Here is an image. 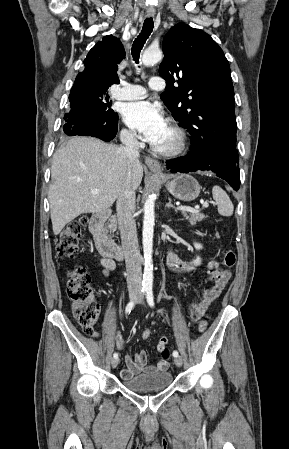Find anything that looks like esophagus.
<instances>
[{"label":"esophagus","instance_id":"34e87169","mask_svg":"<svg viewBox=\"0 0 289 449\" xmlns=\"http://www.w3.org/2000/svg\"><path fill=\"white\" fill-rule=\"evenodd\" d=\"M155 13L154 12H149L148 16L152 17L154 16ZM145 163L147 164V166L154 172H162V168L161 165L159 164L158 161H156L155 159L151 158V157H145Z\"/></svg>","mask_w":289,"mask_h":449}]
</instances>
